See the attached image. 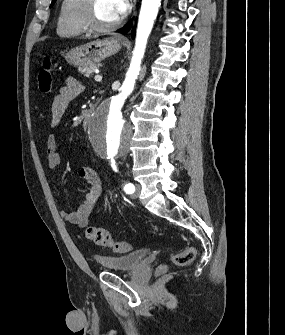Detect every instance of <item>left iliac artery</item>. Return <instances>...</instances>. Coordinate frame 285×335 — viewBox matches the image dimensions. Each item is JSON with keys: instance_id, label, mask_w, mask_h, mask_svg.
<instances>
[{"instance_id": "44dca946", "label": "left iliac artery", "mask_w": 285, "mask_h": 335, "mask_svg": "<svg viewBox=\"0 0 285 335\" xmlns=\"http://www.w3.org/2000/svg\"><path fill=\"white\" fill-rule=\"evenodd\" d=\"M111 166L113 168L114 171L117 172V167L115 165V161L114 160H111ZM124 191L127 193V194H132L134 193L135 191V187L132 183H127L125 186H124Z\"/></svg>"}]
</instances>
